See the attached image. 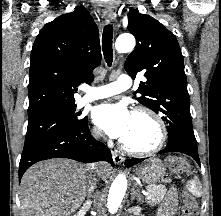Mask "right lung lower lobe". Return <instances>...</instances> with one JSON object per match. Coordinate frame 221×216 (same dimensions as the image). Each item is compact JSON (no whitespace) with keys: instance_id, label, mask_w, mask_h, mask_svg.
I'll list each match as a JSON object with an SVG mask.
<instances>
[{"instance_id":"98d812e1","label":"right lung lower lobe","mask_w":221,"mask_h":216,"mask_svg":"<svg viewBox=\"0 0 221 216\" xmlns=\"http://www.w3.org/2000/svg\"><path fill=\"white\" fill-rule=\"evenodd\" d=\"M60 157L85 163L107 161L114 165L110 150L92 137L85 118L79 126L24 149L19 164V180L34 163Z\"/></svg>"}]
</instances>
